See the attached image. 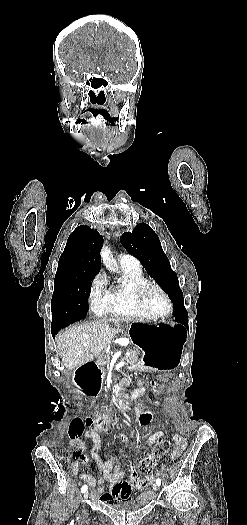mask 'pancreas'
I'll return each mask as SVG.
<instances>
[{
  "mask_svg": "<svg viewBox=\"0 0 247 525\" xmlns=\"http://www.w3.org/2000/svg\"><path fill=\"white\" fill-rule=\"evenodd\" d=\"M127 353H130V356H126V359L133 360V361H141L142 359H146V356H142L141 352H138V349H127ZM99 365L106 364V358H104V355H101V358H99Z\"/></svg>",
  "mask_w": 247,
  "mask_h": 525,
  "instance_id": "pancreas-1",
  "label": "pancreas"
}]
</instances>
